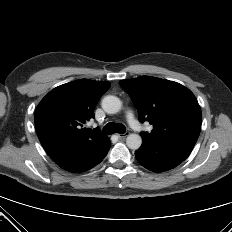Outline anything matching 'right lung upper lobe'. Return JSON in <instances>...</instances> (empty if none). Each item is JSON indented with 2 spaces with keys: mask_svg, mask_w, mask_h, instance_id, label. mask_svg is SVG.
<instances>
[{
  "mask_svg": "<svg viewBox=\"0 0 232 232\" xmlns=\"http://www.w3.org/2000/svg\"><path fill=\"white\" fill-rule=\"evenodd\" d=\"M110 83L81 79L54 88L37 106L35 126L48 155L60 164L103 151L110 140L83 124L94 118V107Z\"/></svg>",
  "mask_w": 232,
  "mask_h": 232,
  "instance_id": "obj_1",
  "label": "right lung upper lobe"
}]
</instances>
